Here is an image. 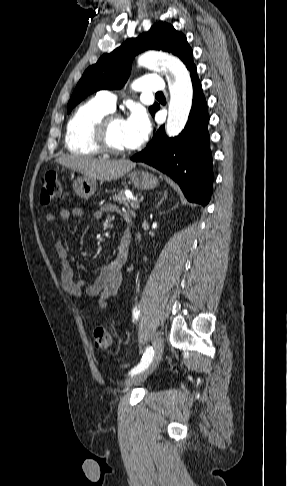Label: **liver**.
<instances>
[{
    "instance_id": "1",
    "label": "liver",
    "mask_w": 287,
    "mask_h": 486,
    "mask_svg": "<svg viewBox=\"0 0 287 486\" xmlns=\"http://www.w3.org/2000/svg\"><path fill=\"white\" fill-rule=\"evenodd\" d=\"M56 162L101 181L116 180L136 166L130 160H98L76 155L60 156Z\"/></svg>"
}]
</instances>
